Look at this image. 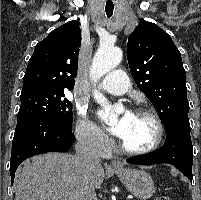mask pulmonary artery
<instances>
[{
  "label": "pulmonary artery",
  "mask_w": 201,
  "mask_h": 200,
  "mask_svg": "<svg viewBox=\"0 0 201 200\" xmlns=\"http://www.w3.org/2000/svg\"><path fill=\"white\" fill-rule=\"evenodd\" d=\"M100 87L108 93L123 95L130 89V81L122 70H114L103 78Z\"/></svg>",
  "instance_id": "1"
}]
</instances>
